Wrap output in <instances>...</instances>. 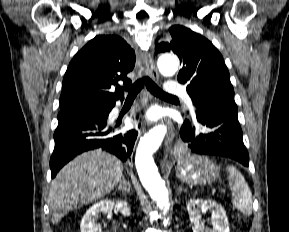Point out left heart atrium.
Segmentation results:
<instances>
[{
  "instance_id": "obj_1",
  "label": "left heart atrium",
  "mask_w": 289,
  "mask_h": 232,
  "mask_svg": "<svg viewBox=\"0 0 289 232\" xmlns=\"http://www.w3.org/2000/svg\"><path fill=\"white\" fill-rule=\"evenodd\" d=\"M148 120L154 121L158 118V114L155 111H150L147 115Z\"/></svg>"
}]
</instances>
